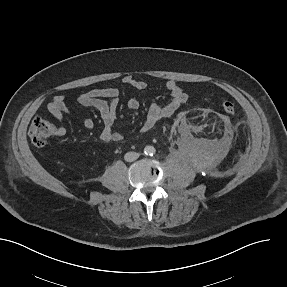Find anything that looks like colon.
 I'll return each instance as SVG.
<instances>
[{
    "label": "colon",
    "mask_w": 287,
    "mask_h": 287,
    "mask_svg": "<svg viewBox=\"0 0 287 287\" xmlns=\"http://www.w3.org/2000/svg\"><path fill=\"white\" fill-rule=\"evenodd\" d=\"M222 108L226 113L232 114L235 112V104L231 101H225L222 104ZM29 137L31 142L37 147H43L46 145L49 138L55 134L54 124L44 118L35 119L29 128Z\"/></svg>",
    "instance_id": "colon-1"
}]
</instances>
